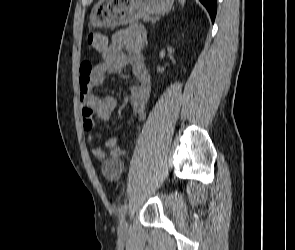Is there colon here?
Here are the masks:
<instances>
[{
    "label": "colon",
    "instance_id": "5ec220e1",
    "mask_svg": "<svg viewBox=\"0 0 295 250\" xmlns=\"http://www.w3.org/2000/svg\"><path fill=\"white\" fill-rule=\"evenodd\" d=\"M87 45L96 51L101 50L106 44V37L100 33H91L86 39Z\"/></svg>",
    "mask_w": 295,
    "mask_h": 250
}]
</instances>
